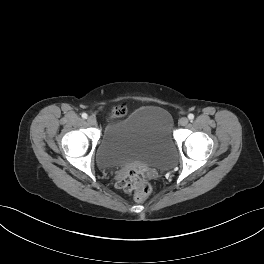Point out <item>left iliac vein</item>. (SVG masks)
Wrapping results in <instances>:
<instances>
[{"mask_svg": "<svg viewBox=\"0 0 264 264\" xmlns=\"http://www.w3.org/2000/svg\"><path fill=\"white\" fill-rule=\"evenodd\" d=\"M188 122H189V120H188L187 117H182V118L179 119V124L181 126H186L188 124Z\"/></svg>", "mask_w": 264, "mask_h": 264, "instance_id": "left-iliac-vein-1", "label": "left iliac vein"}]
</instances>
